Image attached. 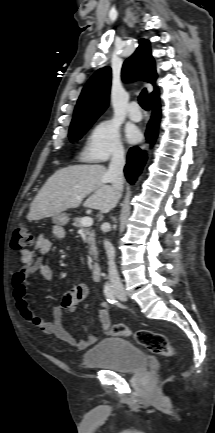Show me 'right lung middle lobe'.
<instances>
[{"instance_id": "obj_1", "label": "right lung middle lobe", "mask_w": 215, "mask_h": 433, "mask_svg": "<svg viewBox=\"0 0 215 433\" xmlns=\"http://www.w3.org/2000/svg\"><path fill=\"white\" fill-rule=\"evenodd\" d=\"M95 120H90L82 123L71 124L69 130V138L71 141H76L91 127Z\"/></svg>"}]
</instances>
